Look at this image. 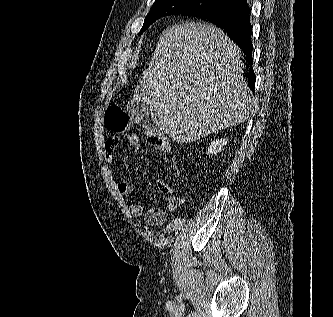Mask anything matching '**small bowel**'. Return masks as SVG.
<instances>
[{
    "instance_id": "small-bowel-1",
    "label": "small bowel",
    "mask_w": 333,
    "mask_h": 317,
    "mask_svg": "<svg viewBox=\"0 0 333 317\" xmlns=\"http://www.w3.org/2000/svg\"><path fill=\"white\" fill-rule=\"evenodd\" d=\"M126 139L136 152L141 151L140 138L137 134L130 133L126 135ZM120 142L121 138L119 136H112L106 140L104 144V156L107 163H112L114 152ZM157 186L162 194L169 195L166 202L167 210L170 212L177 211L181 207L182 201L179 197L172 195L174 193V189L162 180L157 182ZM117 188L119 193L125 197H131L135 191L134 185L128 180L122 178L119 179ZM130 208L134 216L143 218L145 223L149 226H159L164 224L167 220V212L160 207H152L145 210L141 204L134 202L130 205Z\"/></svg>"
}]
</instances>
